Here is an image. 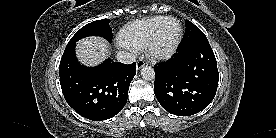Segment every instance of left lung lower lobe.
Masks as SVG:
<instances>
[{
    "label": "left lung lower lobe",
    "mask_w": 276,
    "mask_h": 138,
    "mask_svg": "<svg viewBox=\"0 0 276 138\" xmlns=\"http://www.w3.org/2000/svg\"><path fill=\"white\" fill-rule=\"evenodd\" d=\"M155 96L171 114L190 116L203 110L217 91L219 73L208 41L179 48L175 56L157 64Z\"/></svg>",
    "instance_id": "1"
}]
</instances>
